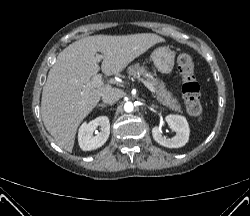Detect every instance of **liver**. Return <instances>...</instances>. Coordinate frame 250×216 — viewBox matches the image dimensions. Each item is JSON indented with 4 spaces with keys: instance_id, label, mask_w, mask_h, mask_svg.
I'll return each mask as SVG.
<instances>
[{
    "instance_id": "1",
    "label": "liver",
    "mask_w": 250,
    "mask_h": 216,
    "mask_svg": "<svg viewBox=\"0 0 250 216\" xmlns=\"http://www.w3.org/2000/svg\"><path fill=\"white\" fill-rule=\"evenodd\" d=\"M164 39L156 34L94 35L66 47L48 73L41 99V115L56 144L72 152L79 124L94 109L114 80L101 86L90 84L101 69L106 75L120 73L135 58Z\"/></svg>"
}]
</instances>
